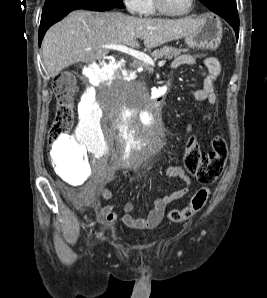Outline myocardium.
Instances as JSON below:
<instances>
[{
	"label": "myocardium",
	"mask_w": 267,
	"mask_h": 298,
	"mask_svg": "<svg viewBox=\"0 0 267 298\" xmlns=\"http://www.w3.org/2000/svg\"><path fill=\"white\" fill-rule=\"evenodd\" d=\"M154 2V6L155 9L157 10V12L161 15H165V16H169V17H184L189 15L194 7H195V0H191L190 6L189 8L182 12V13H174L172 11H170L166 6L163 0H153Z\"/></svg>",
	"instance_id": "1"
}]
</instances>
